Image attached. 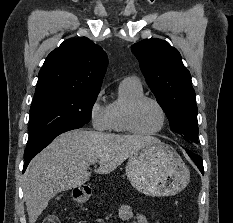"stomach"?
I'll list each match as a JSON object with an SVG mask.
<instances>
[{
    "label": "stomach",
    "instance_id": "obj_1",
    "mask_svg": "<svg viewBox=\"0 0 233 223\" xmlns=\"http://www.w3.org/2000/svg\"><path fill=\"white\" fill-rule=\"evenodd\" d=\"M125 171L131 185L137 191L152 197L175 195L190 181V171L179 153L161 141L146 143L145 147L130 155ZM75 189L77 201L86 197L83 189L82 193H78L80 187Z\"/></svg>",
    "mask_w": 233,
    "mask_h": 223
}]
</instances>
